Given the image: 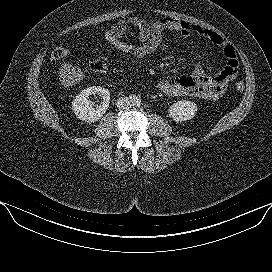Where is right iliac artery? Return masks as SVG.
I'll list each match as a JSON object with an SVG mask.
<instances>
[{"label": "right iliac artery", "mask_w": 272, "mask_h": 272, "mask_svg": "<svg viewBox=\"0 0 272 272\" xmlns=\"http://www.w3.org/2000/svg\"><path fill=\"white\" fill-rule=\"evenodd\" d=\"M130 100L134 101L135 100V96H130Z\"/></svg>", "instance_id": "1"}]
</instances>
